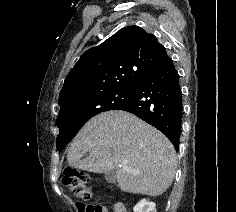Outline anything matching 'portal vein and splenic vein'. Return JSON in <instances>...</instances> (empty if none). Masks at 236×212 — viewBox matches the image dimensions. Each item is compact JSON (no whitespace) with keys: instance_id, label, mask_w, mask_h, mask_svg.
Here are the masks:
<instances>
[{"instance_id":"obj_1","label":"portal vein and splenic vein","mask_w":236,"mask_h":212,"mask_svg":"<svg viewBox=\"0 0 236 212\" xmlns=\"http://www.w3.org/2000/svg\"><path fill=\"white\" fill-rule=\"evenodd\" d=\"M120 168H122L125 171H130L129 168L126 165H121ZM132 173H138V171L132 170Z\"/></svg>"}]
</instances>
